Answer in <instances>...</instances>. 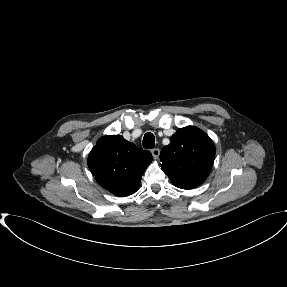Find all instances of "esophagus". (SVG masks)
Wrapping results in <instances>:
<instances>
[{
    "label": "esophagus",
    "mask_w": 287,
    "mask_h": 287,
    "mask_svg": "<svg viewBox=\"0 0 287 287\" xmlns=\"http://www.w3.org/2000/svg\"><path fill=\"white\" fill-rule=\"evenodd\" d=\"M152 156L157 159L160 155V150L158 148H154L151 150Z\"/></svg>",
    "instance_id": "esophagus-1"
}]
</instances>
